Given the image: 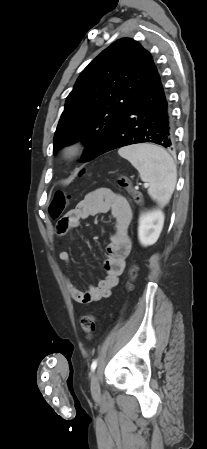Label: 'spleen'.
<instances>
[{
    "instance_id": "3e777b00",
    "label": "spleen",
    "mask_w": 207,
    "mask_h": 449,
    "mask_svg": "<svg viewBox=\"0 0 207 449\" xmlns=\"http://www.w3.org/2000/svg\"><path fill=\"white\" fill-rule=\"evenodd\" d=\"M139 172L142 181L149 183L150 197L165 205L169 202L177 182V169L172 157L153 144H136L118 150Z\"/></svg>"
}]
</instances>
